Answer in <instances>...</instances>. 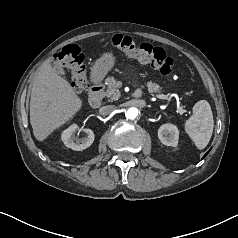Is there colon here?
<instances>
[{
	"instance_id": "colon-1",
	"label": "colon",
	"mask_w": 238,
	"mask_h": 238,
	"mask_svg": "<svg viewBox=\"0 0 238 238\" xmlns=\"http://www.w3.org/2000/svg\"><path fill=\"white\" fill-rule=\"evenodd\" d=\"M110 45L163 75H169L173 70V59L160 47L136 43L131 37L124 35L112 36ZM53 63L71 74V86L75 92L81 93L89 89L84 54L77 45H68L54 54Z\"/></svg>"
}]
</instances>
